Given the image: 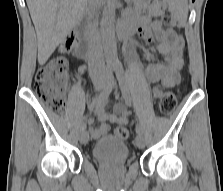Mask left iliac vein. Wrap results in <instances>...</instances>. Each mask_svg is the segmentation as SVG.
<instances>
[{
	"instance_id": "4c4485c4",
	"label": "left iliac vein",
	"mask_w": 223,
	"mask_h": 191,
	"mask_svg": "<svg viewBox=\"0 0 223 191\" xmlns=\"http://www.w3.org/2000/svg\"><path fill=\"white\" fill-rule=\"evenodd\" d=\"M113 84L116 85L115 79L113 77H111ZM145 145V141H144V137L141 133H137L136 137H135V146L142 149L144 148Z\"/></svg>"
}]
</instances>
